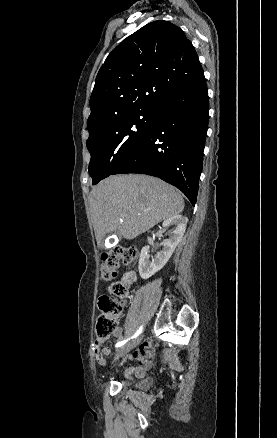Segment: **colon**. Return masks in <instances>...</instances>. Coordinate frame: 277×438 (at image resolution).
Returning a JSON list of instances; mask_svg holds the SVG:
<instances>
[{
    "label": "colon",
    "mask_w": 277,
    "mask_h": 438,
    "mask_svg": "<svg viewBox=\"0 0 277 438\" xmlns=\"http://www.w3.org/2000/svg\"><path fill=\"white\" fill-rule=\"evenodd\" d=\"M138 248H125L124 252L119 246H114L102 256L103 263L99 265V278L102 282L110 283V291L114 295H122L124 287L116 283L117 266L119 261H132L139 256ZM99 306V317L94 319V341L102 342L103 338L114 334L115 328L121 327V302L112 296H101L95 299Z\"/></svg>",
    "instance_id": "colon-1"
}]
</instances>
